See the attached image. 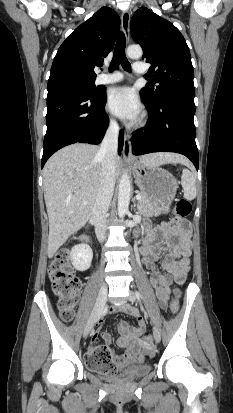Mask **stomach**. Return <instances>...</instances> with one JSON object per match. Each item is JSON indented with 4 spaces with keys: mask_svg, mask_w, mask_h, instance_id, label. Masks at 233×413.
<instances>
[{
    "mask_svg": "<svg viewBox=\"0 0 233 413\" xmlns=\"http://www.w3.org/2000/svg\"><path fill=\"white\" fill-rule=\"evenodd\" d=\"M132 170L142 193L157 201L162 208L171 205L176 195L177 181L170 172L142 162H135Z\"/></svg>",
    "mask_w": 233,
    "mask_h": 413,
    "instance_id": "1",
    "label": "stomach"
}]
</instances>
